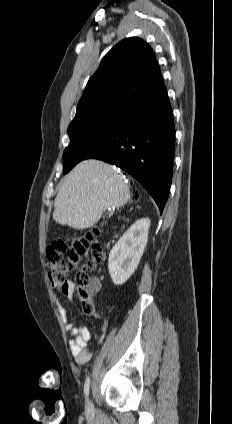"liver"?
<instances>
[{
    "instance_id": "1",
    "label": "liver",
    "mask_w": 232,
    "mask_h": 424,
    "mask_svg": "<svg viewBox=\"0 0 232 424\" xmlns=\"http://www.w3.org/2000/svg\"><path fill=\"white\" fill-rule=\"evenodd\" d=\"M129 198L130 189L121 172L100 160H84L63 179L53 219L74 229H87L108 207H122Z\"/></svg>"
}]
</instances>
